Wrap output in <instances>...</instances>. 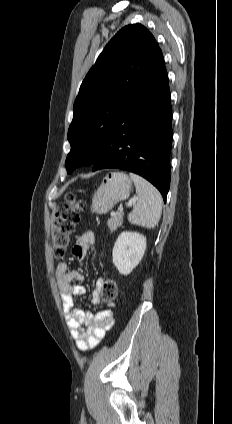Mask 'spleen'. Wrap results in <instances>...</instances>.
I'll return each instance as SVG.
<instances>
[{"mask_svg": "<svg viewBox=\"0 0 232 424\" xmlns=\"http://www.w3.org/2000/svg\"><path fill=\"white\" fill-rule=\"evenodd\" d=\"M133 180L138 201L133 206L132 212L128 215L131 224L154 228L161 217L162 197L160 192L143 177L130 173Z\"/></svg>", "mask_w": 232, "mask_h": 424, "instance_id": "spleen-1", "label": "spleen"}]
</instances>
